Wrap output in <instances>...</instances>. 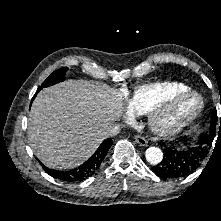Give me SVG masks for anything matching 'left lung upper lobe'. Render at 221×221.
<instances>
[{
  "mask_svg": "<svg viewBox=\"0 0 221 221\" xmlns=\"http://www.w3.org/2000/svg\"><path fill=\"white\" fill-rule=\"evenodd\" d=\"M211 126H210V132L208 134H202L199 138L198 147L203 148L204 156L203 158H206L207 153L209 152L212 142L215 137V131L218 129L219 121L217 120V112L216 109L213 110L212 116H211ZM219 130H221V118H220V126Z\"/></svg>",
  "mask_w": 221,
  "mask_h": 221,
  "instance_id": "left-lung-upper-lobe-1",
  "label": "left lung upper lobe"
}]
</instances>
